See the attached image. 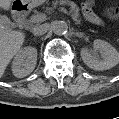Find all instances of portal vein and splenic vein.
Here are the masks:
<instances>
[{
    "label": "portal vein and splenic vein",
    "instance_id": "portal-vein-and-splenic-vein-1",
    "mask_svg": "<svg viewBox=\"0 0 119 119\" xmlns=\"http://www.w3.org/2000/svg\"><path fill=\"white\" fill-rule=\"evenodd\" d=\"M60 11L67 13V10L63 7L59 8ZM46 18L44 14H38L35 16H32L31 20L32 22H40L43 21Z\"/></svg>",
    "mask_w": 119,
    "mask_h": 119
}]
</instances>
